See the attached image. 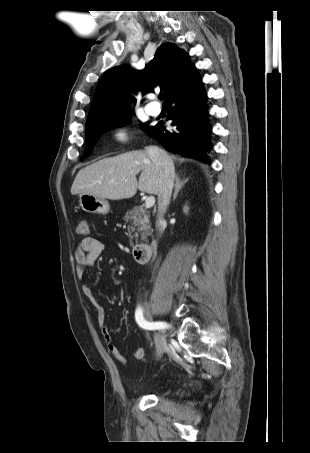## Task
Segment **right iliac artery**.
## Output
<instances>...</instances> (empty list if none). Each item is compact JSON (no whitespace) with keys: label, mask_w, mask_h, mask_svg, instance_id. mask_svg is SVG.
<instances>
[{"label":"right iliac artery","mask_w":310,"mask_h":453,"mask_svg":"<svg viewBox=\"0 0 310 453\" xmlns=\"http://www.w3.org/2000/svg\"><path fill=\"white\" fill-rule=\"evenodd\" d=\"M135 319L137 324L146 330H156V329H164L167 327L165 322H148L143 317V310L141 307H137L135 311Z\"/></svg>","instance_id":"obj_1"}]
</instances>
